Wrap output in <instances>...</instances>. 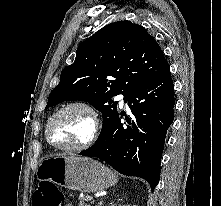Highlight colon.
I'll list each match as a JSON object with an SVG mask.
<instances>
[{
	"mask_svg": "<svg viewBox=\"0 0 221 206\" xmlns=\"http://www.w3.org/2000/svg\"><path fill=\"white\" fill-rule=\"evenodd\" d=\"M33 206H65L64 194L50 183H42L33 194Z\"/></svg>",
	"mask_w": 221,
	"mask_h": 206,
	"instance_id": "colon-1",
	"label": "colon"
}]
</instances>
